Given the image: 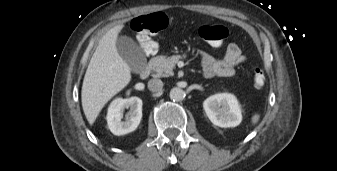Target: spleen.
<instances>
[{
  "instance_id": "3e777b00",
  "label": "spleen",
  "mask_w": 337,
  "mask_h": 171,
  "mask_svg": "<svg viewBox=\"0 0 337 171\" xmlns=\"http://www.w3.org/2000/svg\"><path fill=\"white\" fill-rule=\"evenodd\" d=\"M259 118H260V115L259 114H254L251 118V121H252V124L255 125L258 123L259 121Z\"/></svg>"
}]
</instances>
